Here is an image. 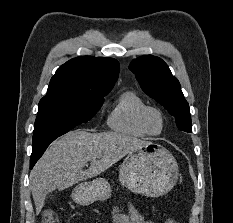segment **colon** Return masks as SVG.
<instances>
[{
	"label": "colon",
	"instance_id": "colon-1",
	"mask_svg": "<svg viewBox=\"0 0 233 223\" xmlns=\"http://www.w3.org/2000/svg\"><path fill=\"white\" fill-rule=\"evenodd\" d=\"M44 223H60V221L53 210L47 209L44 211ZM165 223H176V220L173 217H168L165 219Z\"/></svg>",
	"mask_w": 233,
	"mask_h": 223
}]
</instances>
